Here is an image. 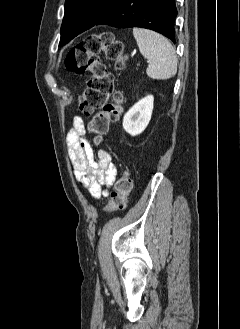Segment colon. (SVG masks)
<instances>
[{
  "mask_svg": "<svg viewBox=\"0 0 240 329\" xmlns=\"http://www.w3.org/2000/svg\"><path fill=\"white\" fill-rule=\"evenodd\" d=\"M102 52L115 60L118 69L124 68L126 56L123 45L114 40L109 33L88 34L65 58L67 70L89 75L87 86L79 97V103L80 110L85 115L100 109L88 123V130L94 135L95 143H100L110 125L120 118L123 100L122 92L114 88L113 78L99 56ZM132 186L130 174L121 176L115 184L105 210L113 212L125 209Z\"/></svg>",
  "mask_w": 240,
  "mask_h": 329,
  "instance_id": "1",
  "label": "colon"
}]
</instances>
